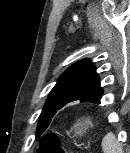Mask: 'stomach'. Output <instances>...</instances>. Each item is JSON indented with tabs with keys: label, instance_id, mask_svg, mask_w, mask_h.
Returning <instances> with one entry per match:
<instances>
[{
	"label": "stomach",
	"instance_id": "stomach-1",
	"mask_svg": "<svg viewBox=\"0 0 130 153\" xmlns=\"http://www.w3.org/2000/svg\"><path fill=\"white\" fill-rule=\"evenodd\" d=\"M93 127V123L89 117H83L78 119L76 123L71 127V132L74 133L75 136H83L88 129Z\"/></svg>",
	"mask_w": 130,
	"mask_h": 153
}]
</instances>
